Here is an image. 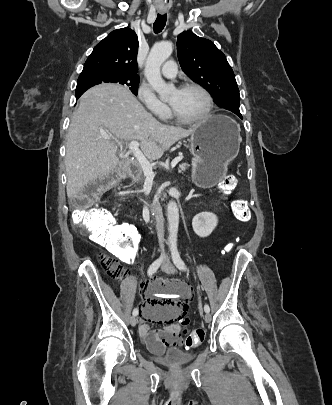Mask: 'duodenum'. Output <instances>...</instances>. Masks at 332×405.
Here are the masks:
<instances>
[{"label": "duodenum", "instance_id": "1", "mask_svg": "<svg viewBox=\"0 0 332 405\" xmlns=\"http://www.w3.org/2000/svg\"><path fill=\"white\" fill-rule=\"evenodd\" d=\"M131 170H134V167H132L131 168ZM129 176V171H124L123 173H122V177H128Z\"/></svg>", "mask_w": 332, "mask_h": 405}]
</instances>
